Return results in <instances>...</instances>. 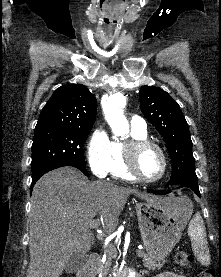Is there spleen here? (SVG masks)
Instances as JSON below:
<instances>
[{
	"label": "spleen",
	"mask_w": 221,
	"mask_h": 277,
	"mask_svg": "<svg viewBox=\"0 0 221 277\" xmlns=\"http://www.w3.org/2000/svg\"><path fill=\"white\" fill-rule=\"evenodd\" d=\"M188 235L191 239L194 255L203 265H208L210 263V255L207 236L203 219L199 213H196L189 222Z\"/></svg>",
	"instance_id": "spleen-1"
}]
</instances>
